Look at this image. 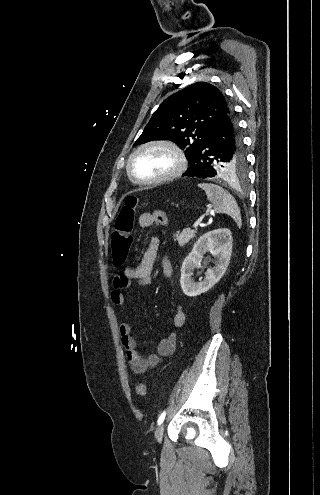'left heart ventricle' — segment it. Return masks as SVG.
<instances>
[{
	"label": "left heart ventricle",
	"instance_id": "1",
	"mask_svg": "<svg viewBox=\"0 0 320 495\" xmlns=\"http://www.w3.org/2000/svg\"><path fill=\"white\" fill-rule=\"evenodd\" d=\"M174 155L165 148L140 152L133 160L132 170L140 179H153L169 173L175 167Z\"/></svg>",
	"mask_w": 320,
	"mask_h": 495
}]
</instances>
